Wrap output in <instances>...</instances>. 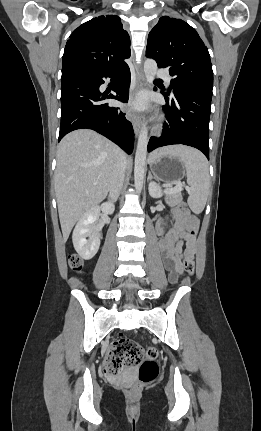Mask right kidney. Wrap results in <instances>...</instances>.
I'll return each mask as SVG.
<instances>
[{
	"instance_id": "1",
	"label": "right kidney",
	"mask_w": 261,
	"mask_h": 431,
	"mask_svg": "<svg viewBox=\"0 0 261 431\" xmlns=\"http://www.w3.org/2000/svg\"><path fill=\"white\" fill-rule=\"evenodd\" d=\"M113 211L114 205L106 202L89 209L79 219L73 231L72 241L75 250L83 259L93 258L100 246L101 235L95 231L93 224L99 219L101 212L108 215Z\"/></svg>"
}]
</instances>
